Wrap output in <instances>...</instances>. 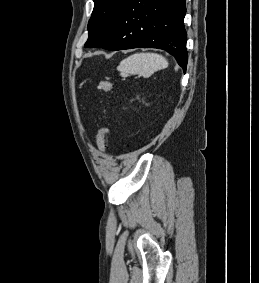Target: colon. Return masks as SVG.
Instances as JSON below:
<instances>
[{
    "mask_svg": "<svg viewBox=\"0 0 259 283\" xmlns=\"http://www.w3.org/2000/svg\"><path fill=\"white\" fill-rule=\"evenodd\" d=\"M98 88L106 93H109L112 91L113 85L110 81L101 79L98 83ZM109 135L110 128L108 126L103 127L97 138V146L101 151L108 149Z\"/></svg>",
    "mask_w": 259,
    "mask_h": 283,
    "instance_id": "colon-1",
    "label": "colon"
}]
</instances>
